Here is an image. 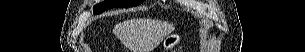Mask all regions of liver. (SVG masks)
<instances>
[{"label": "liver", "mask_w": 305, "mask_h": 52, "mask_svg": "<svg viewBox=\"0 0 305 52\" xmlns=\"http://www.w3.org/2000/svg\"><path fill=\"white\" fill-rule=\"evenodd\" d=\"M136 23H137V21H135V20L124 21L123 23L116 25L113 32L115 34H118V33L127 31V30L131 29L132 27H134L136 25ZM173 29H174V27L169 24H162V25L158 26L157 35L155 36V38L152 42V46L153 47L158 46L160 44V42H162V40L173 31Z\"/></svg>", "instance_id": "liver-1"}]
</instances>
